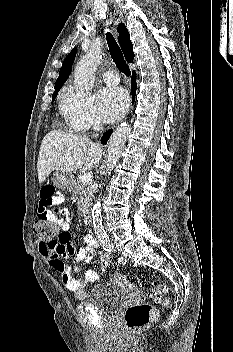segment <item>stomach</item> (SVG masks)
Here are the masks:
<instances>
[{
	"mask_svg": "<svg viewBox=\"0 0 233 352\" xmlns=\"http://www.w3.org/2000/svg\"><path fill=\"white\" fill-rule=\"evenodd\" d=\"M56 187L64 191H71L73 185V176L70 172L56 171L54 174Z\"/></svg>",
	"mask_w": 233,
	"mask_h": 352,
	"instance_id": "obj_1",
	"label": "stomach"
}]
</instances>
